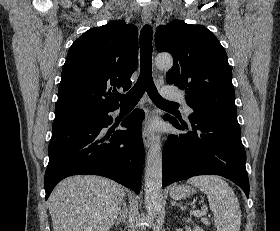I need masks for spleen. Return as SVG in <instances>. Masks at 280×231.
Listing matches in <instances>:
<instances>
[{
	"mask_svg": "<svg viewBox=\"0 0 280 231\" xmlns=\"http://www.w3.org/2000/svg\"><path fill=\"white\" fill-rule=\"evenodd\" d=\"M187 183H193L206 193L214 213L217 231H240L241 209L230 185L219 175H196Z\"/></svg>",
	"mask_w": 280,
	"mask_h": 231,
	"instance_id": "obj_1",
	"label": "spleen"
}]
</instances>
